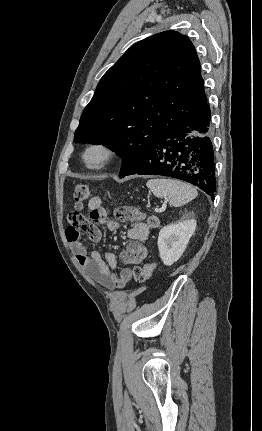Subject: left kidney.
Returning <instances> with one entry per match:
<instances>
[{"label": "left kidney", "instance_id": "1", "mask_svg": "<svg viewBox=\"0 0 262 431\" xmlns=\"http://www.w3.org/2000/svg\"><path fill=\"white\" fill-rule=\"evenodd\" d=\"M196 229V220H185L163 227L158 236L160 258L167 266L179 260Z\"/></svg>", "mask_w": 262, "mask_h": 431}]
</instances>
